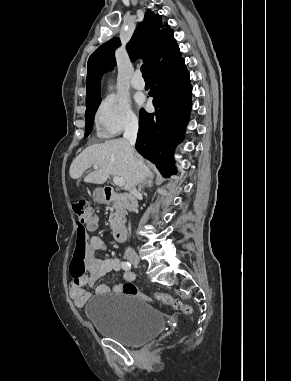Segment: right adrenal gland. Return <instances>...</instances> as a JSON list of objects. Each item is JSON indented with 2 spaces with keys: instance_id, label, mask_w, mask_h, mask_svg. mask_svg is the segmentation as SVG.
I'll return each instance as SVG.
<instances>
[{
  "instance_id": "2a0ac1e0",
  "label": "right adrenal gland",
  "mask_w": 291,
  "mask_h": 381,
  "mask_svg": "<svg viewBox=\"0 0 291 381\" xmlns=\"http://www.w3.org/2000/svg\"><path fill=\"white\" fill-rule=\"evenodd\" d=\"M153 179H154V176L153 175H148V177H146L139 185V188L138 190L141 191V189L143 187H152L153 186Z\"/></svg>"
}]
</instances>
